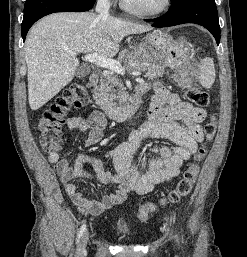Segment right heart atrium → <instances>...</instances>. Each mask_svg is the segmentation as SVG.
<instances>
[{
    "mask_svg": "<svg viewBox=\"0 0 247 257\" xmlns=\"http://www.w3.org/2000/svg\"><path fill=\"white\" fill-rule=\"evenodd\" d=\"M104 3L110 4L113 0H102Z\"/></svg>",
    "mask_w": 247,
    "mask_h": 257,
    "instance_id": "1",
    "label": "right heart atrium"
}]
</instances>
